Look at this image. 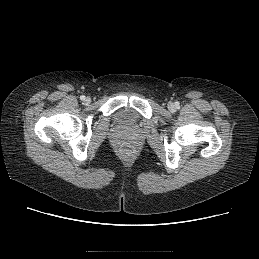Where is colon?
<instances>
[{"label":"colon","instance_id":"1","mask_svg":"<svg viewBox=\"0 0 259 259\" xmlns=\"http://www.w3.org/2000/svg\"><path fill=\"white\" fill-rule=\"evenodd\" d=\"M136 149L133 144L125 142L120 146V153L123 157L130 158L135 155Z\"/></svg>","mask_w":259,"mask_h":259}]
</instances>
